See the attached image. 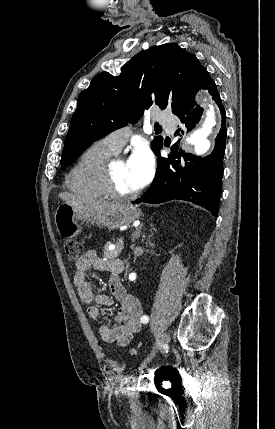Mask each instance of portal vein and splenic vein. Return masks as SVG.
<instances>
[{
	"instance_id": "1",
	"label": "portal vein and splenic vein",
	"mask_w": 275,
	"mask_h": 429,
	"mask_svg": "<svg viewBox=\"0 0 275 429\" xmlns=\"http://www.w3.org/2000/svg\"><path fill=\"white\" fill-rule=\"evenodd\" d=\"M118 246H122L123 247V239H120ZM115 248V246H110L109 249L113 250Z\"/></svg>"
}]
</instances>
